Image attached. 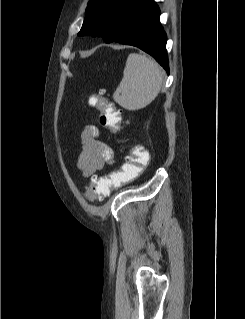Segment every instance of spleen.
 Masks as SVG:
<instances>
[{
  "mask_svg": "<svg viewBox=\"0 0 245 319\" xmlns=\"http://www.w3.org/2000/svg\"><path fill=\"white\" fill-rule=\"evenodd\" d=\"M162 84L163 72L158 63L146 55L131 53L113 99L127 110H139L157 97Z\"/></svg>",
  "mask_w": 245,
  "mask_h": 319,
  "instance_id": "obj_1",
  "label": "spleen"
}]
</instances>
